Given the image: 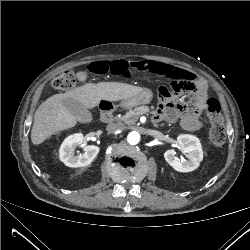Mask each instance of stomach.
Wrapping results in <instances>:
<instances>
[{
    "label": "stomach",
    "instance_id": "obj_1",
    "mask_svg": "<svg viewBox=\"0 0 250 250\" xmlns=\"http://www.w3.org/2000/svg\"><path fill=\"white\" fill-rule=\"evenodd\" d=\"M152 98H153L152 91L149 89H144L139 94L131 98L124 99L121 102V105L125 108H132L138 105L148 104L151 102Z\"/></svg>",
    "mask_w": 250,
    "mask_h": 250
}]
</instances>
